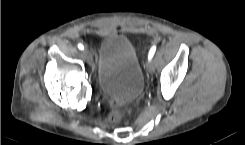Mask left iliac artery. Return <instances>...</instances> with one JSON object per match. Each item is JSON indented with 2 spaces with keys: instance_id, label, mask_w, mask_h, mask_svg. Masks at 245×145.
<instances>
[{
  "instance_id": "44dca946",
  "label": "left iliac artery",
  "mask_w": 245,
  "mask_h": 145,
  "mask_svg": "<svg viewBox=\"0 0 245 145\" xmlns=\"http://www.w3.org/2000/svg\"><path fill=\"white\" fill-rule=\"evenodd\" d=\"M155 51H156V46H152L150 51H149V55H148V59L151 60L153 55L155 54Z\"/></svg>"
}]
</instances>
